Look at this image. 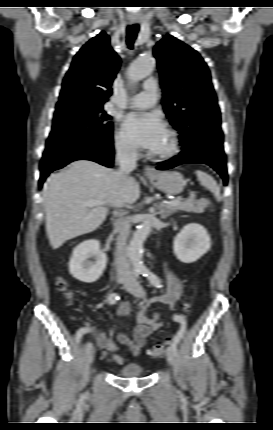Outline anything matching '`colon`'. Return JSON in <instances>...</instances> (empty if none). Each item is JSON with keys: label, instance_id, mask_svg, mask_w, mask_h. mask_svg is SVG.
I'll list each match as a JSON object with an SVG mask.
<instances>
[{"label": "colon", "instance_id": "5ec220e1", "mask_svg": "<svg viewBox=\"0 0 273 430\" xmlns=\"http://www.w3.org/2000/svg\"><path fill=\"white\" fill-rule=\"evenodd\" d=\"M56 287L58 290L63 291L67 298L71 297V294L67 291V283L62 278L57 280ZM165 348L166 342L159 341L148 351V354L151 358H159L163 354ZM113 357L118 363L122 362V358L120 356L114 355Z\"/></svg>", "mask_w": 273, "mask_h": 430}]
</instances>
